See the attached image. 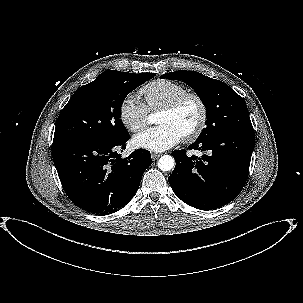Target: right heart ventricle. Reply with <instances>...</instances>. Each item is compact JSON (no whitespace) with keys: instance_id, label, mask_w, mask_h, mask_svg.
Here are the masks:
<instances>
[{"instance_id":"obj_1","label":"right heart ventricle","mask_w":303,"mask_h":303,"mask_svg":"<svg viewBox=\"0 0 303 303\" xmlns=\"http://www.w3.org/2000/svg\"><path fill=\"white\" fill-rule=\"evenodd\" d=\"M145 98V104L149 111H157L170 103L187 89L180 83L158 79L147 83L140 90Z\"/></svg>"}]
</instances>
